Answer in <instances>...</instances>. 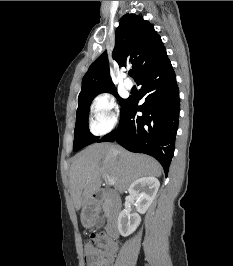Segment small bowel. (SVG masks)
<instances>
[{
  "instance_id": "1",
  "label": "small bowel",
  "mask_w": 233,
  "mask_h": 266,
  "mask_svg": "<svg viewBox=\"0 0 233 266\" xmlns=\"http://www.w3.org/2000/svg\"><path fill=\"white\" fill-rule=\"evenodd\" d=\"M84 250L87 266H113L118 245L106 237L97 246L87 243Z\"/></svg>"
}]
</instances>
